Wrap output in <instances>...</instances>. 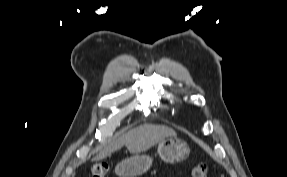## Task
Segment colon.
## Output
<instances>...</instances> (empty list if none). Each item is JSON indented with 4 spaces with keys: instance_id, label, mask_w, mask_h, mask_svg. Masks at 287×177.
Returning <instances> with one entry per match:
<instances>
[{
    "instance_id": "5ec220e1",
    "label": "colon",
    "mask_w": 287,
    "mask_h": 177,
    "mask_svg": "<svg viewBox=\"0 0 287 177\" xmlns=\"http://www.w3.org/2000/svg\"><path fill=\"white\" fill-rule=\"evenodd\" d=\"M110 169L107 162H98L92 166V177H105ZM208 166L206 163L200 162L194 164L189 169L190 177H207Z\"/></svg>"
}]
</instances>
